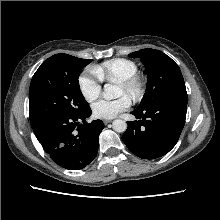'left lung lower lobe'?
<instances>
[{"label": "left lung lower lobe", "mask_w": 220, "mask_h": 220, "mask_svg": "<svg viewBox=\"0 0 220 220\" xmlns=\"http://www.w3.org/2000/svg\"><path fill=\"white\" fill-rule=\"evenodd\" d=\"M187 94L162 98L132 112L138 121H130L122 136L128 149L142 159H155L168 153L177 143L185 125Z\"/></svg>", "instance_id": "0a47b994"}]
</instances>
